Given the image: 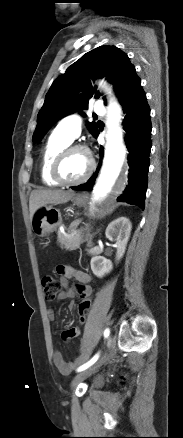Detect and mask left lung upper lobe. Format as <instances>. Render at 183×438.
Segmentation results:
<instances>
[{"label": "left lung upper lobe", "instance_id": "5c2ea615", "mask_svg": "<svg viewBox=\"0 0 183 438\" xmlns=\"http://www.w3.org/2000/svg\"><path fill=\"white\" fill-rule=\"evenodd\" d=\"M97 77H106L113 83L120 97L137 74L127 54L115 46H100L84 54L51 85L38 113L33 143H39L58 120L87 109L89 100L100 96L90 81ZM87 127L93 136L98 132L95 123L88 122Z\"/></svg>", "mask_w": 183, "mask_h": 438}]
</instances>
